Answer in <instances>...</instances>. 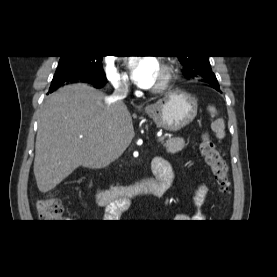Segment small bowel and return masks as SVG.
Wrapping results in <instances>:
<instances>
[{
    "instance_id": "1",
    "label": "small bowel",
    "mask_w": 277,
    "mask_h": 277,
    "mask_svg": "<svg viewBox=\"0 0 277 277\" xmlns=\"http://www.w3.org/2000/svg\"><path fill=\"white\" fill-rule=\"evenodd\" d=\"M152 169H153V172H154L155 176L158 177L160 175V170H159L158 165L154 162V160L152 162ZM171 179H172V173H171ZM170 184H171V181L168 184H165V183L162 184V191H161L162 196L167 192V190L170 187ZM206 194H207L206 186L200 185L197 188V190L195 192V195H194V204L197 207H200L202 205V203L204 202ZM197 216L200 217L201 214H197ZM180 217L185 218L186 216L185 215H180Z\"/></svg>"
}]
</instances>
